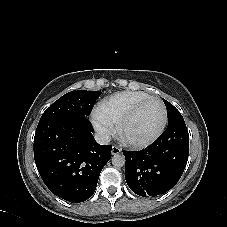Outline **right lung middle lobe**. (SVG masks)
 Here are the masks:
<instances>
[{
	"mask_svg": "<svg viewBox=\"0 0 227 227\" xmlns=\"http://www.w3.org/2000/svg\"><path fill=\"white\" fill-rule=\"evenodd\" d=\"M100 95V91H71L48 107L41 120L87 118Z\"/></svg>",
	"mask_w": 227,
	"mask_h": 227,
	"instance_id": "right-lung-middle-lobe-1",
	"label": "right lung middle lobe"
}]
</instances>
